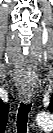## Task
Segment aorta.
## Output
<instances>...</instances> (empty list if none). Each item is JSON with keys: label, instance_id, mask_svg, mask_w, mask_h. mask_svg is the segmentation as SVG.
<instances>
[{"label": "aorta", "instance_id": "obj_1", "mask_svg": "<svg viewBox=\"0 0 53 133\" xmlns=\"http://www.w3.org/2000/svg\"><path fill=\"white\" fill-rule=\"evenodd\" d=\"M37 124L42 128H49L52 125V115L50 113H42L37 116Z\"/></svg>", "mask_w": 53, "mask_h": 133}]
</instances>
